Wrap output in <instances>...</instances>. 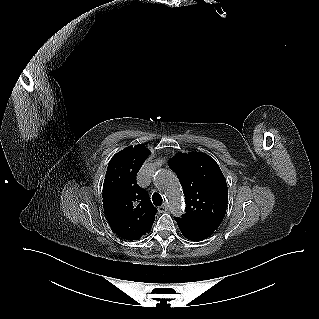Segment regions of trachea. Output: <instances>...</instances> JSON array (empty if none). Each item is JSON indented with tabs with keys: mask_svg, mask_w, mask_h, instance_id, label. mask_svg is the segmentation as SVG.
<instances>
[{
	"mask_svg": "<svg viewBox=\"0 0 319 319\" xmlns=\"http://www.w3.org/2000/svg\"><path fill=\"white\" fill-rule=\"evenodd\" d=\"M152 201L154 205L160 206L163 203V199L159 193H154L152 196Z\"/></svg>",
	"mask_w": 319,
	"mask_h": 319,
	"instance_id": "obj_1",
	"label": "trachea"
}]
</instances>
